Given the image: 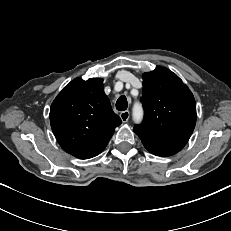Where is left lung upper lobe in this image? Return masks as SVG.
Instances as JSON below:
<instances>
[{
    "label": "left lung upper lobe",
    "instance_id": "left-lung-upper-lobe-1",
    "mask_svg": "<svg viewBox=\"0 0 231 231\" xmlns=\"http://www.w3.org/2000/svg\"><path fill=\"white\" fill-rule=\"evenodd\" d=\"M144 121L134 132L142 141L179 152L196 124V103L189 88L165 67L143 74Z\"/></svg>",
    "mask_w": 231,
    "mask_h": 231
}]
</instances>
